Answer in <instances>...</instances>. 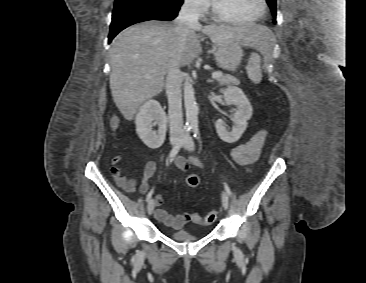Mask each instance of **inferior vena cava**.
I'll return each mask as SVG.
<instances>
[{
    "mask_svg": "<svg viewBox=\"0 0 366 283\" xmlns=\"http://www.w3.org/2000/svg\"><path fill=\"white\" fill-rule=\"evenodd\" d=\"M199 8L194 0H185L178 17L174 20V29L179 38V46H182L184 37L189 29L199 25ZM179 55H175L170 60V66L166 77V94L168 97V117L170 124V134L175 135L182 132V72L179 67Z\"/></svg>",
    "mask_w": 366,
    "mask_h": 283,
    "instance_id": "1",
    "label": "inferior vena cava"
}]
</instances>
